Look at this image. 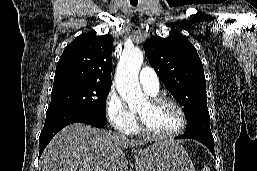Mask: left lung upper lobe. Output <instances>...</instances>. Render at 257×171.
I'll return each mask as SVG.
<instances>
[{
    "label": "left lung upper lobe",
    "mask_w": 257,
    "mask_h": 171,
    "mask_svg": "<svg viewBox=\"0 0 257 171\" xmlns=\"http://www.w3.org/2000/svg\"><path fill=\"white\" fill-rule=\"evenodd\" d=\"M151 66L168 91L183 106L185 133H211L205 76L195 47L179 33L155 36L144 43Z\"/></svg>",
    "instance_id": "1"
}]
</instances>
